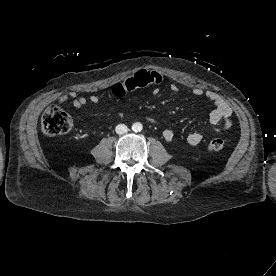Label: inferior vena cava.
Instances as JSON below:
<instances>
[{
  "label": "inferior vena cava",
  "instance_id": "inferior-vena-cava-1",
  "mask_svg": "<svg viewBox=\"0 0 276 276\" xmlns=\"http://www.w3.org/2000/svg\"><path fill=\"white\" fill-rule=\"evenodd\" d=\"M115 131H116L117 134L123 135V134L127 133L128 128L124 124H118L115 128Z\"/></svg>",
  "mask_w": 276,
  "mask_h": 276
}]
</instances>
